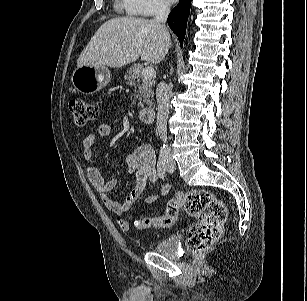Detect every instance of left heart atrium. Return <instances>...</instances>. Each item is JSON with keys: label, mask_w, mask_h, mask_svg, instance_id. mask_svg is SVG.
<instances>
[{"label": "left heart atrium", "mask_w": 307, "mask_h": 301, "mask_svg": "<svg viewBox=\"0 0 307 301\" xmlns=\"http://www.w3.org/2000/svg\"><path fill=\"white\" fill-rule=\"evenodd\" d=\"M177 0H167V2H169V3H174V2H176Z\"/></svg>", "instance_id": "1"}]
</instances>
